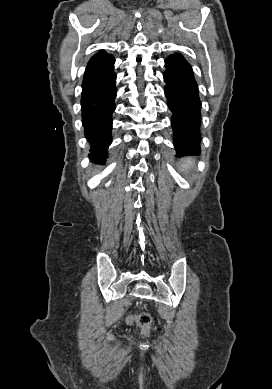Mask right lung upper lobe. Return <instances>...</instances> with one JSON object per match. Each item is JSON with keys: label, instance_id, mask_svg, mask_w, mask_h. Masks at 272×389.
Masks as SVG:
<instances>
[{"label": "right lung upper lobe", "instance_id": "right-lung-upper-lobe-1", "mask_svg": "<svg viewBox=\"0 0 272 389\" xmlns=\"http://www.w3.org/2000/svg\"><path fill=\"white\" fill-rule=\"evenodd\" d=\"M110 56V54H107L105 51L101 50L100 52L96 53L91 59L89 60L88 64H91L93 62H96L98 60H101L103 58H106Z\"/></svg>", "mask_w": 272, "mask_h": 389}]
</instances>
